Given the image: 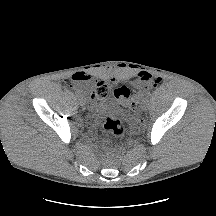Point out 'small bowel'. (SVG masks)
<instances>
[{"label": "small bowel", "instance_id": "small-bowel-1", "mask_svg": "<svg viewBox=\"0 0 216 216\" xmlns=\"http://www.w3.org/2000/svg\"><path fill=\"white\" fill-rule=\"evenodd\" d=\"M70 79L75 85H80L88 81L89 78L82 72H76L71 76ZM117 89H124L128 94L130 93V90L126 86H121Z\"/></svg>", "mask_w": 216, "mask_h": 216}]
</instances>
